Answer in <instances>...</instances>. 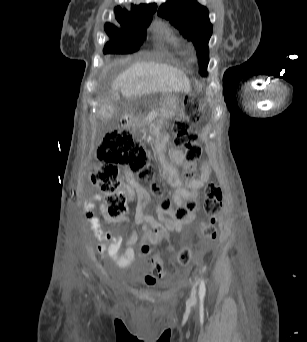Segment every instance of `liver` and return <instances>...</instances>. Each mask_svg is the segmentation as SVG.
Instances as JSON below:
<instances>
[{
	"mask_svg": "<svg viewBox=\"0 0 307 342\" xmlns=\"http://www.w3.org/2000/svg\"><path fill=\"white\" fill-rule=\"evenodd\" d=\"M112 90L113 96L118 98H120L119 90L122 98L145 96L155 92L188 94L191 84L189 78L179 68L169 64H156V62H136L115 78Z\"/></svg>",
	"mask_w": 307,
	"mask_h": 342,
	"instance_id": "liver-1",
	"label": "liver"
}]
</instances>
